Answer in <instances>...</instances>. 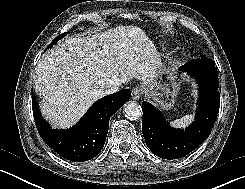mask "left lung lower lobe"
<instances>
[{"label": "left lung lower lobe", "instance_id": "0a47b994", "mask_svg": "<svg viewBox=\"0 0 245 189\" xmlns=\"http://www.w3.org/2000/svg\"><path fill=\"white\" fill-rule=\"evenodd\" d=\"M198 81L200 97L195 121L184 129L172 128L161 112L142 102V133L148 148L163 159L181 158L202 144L210 135L219 112L218 72L213 60L203 57L181 68Z\"/></svg>", "mask_w": 245, "mask_h": 189}]
</instances>
